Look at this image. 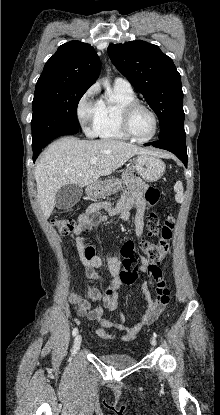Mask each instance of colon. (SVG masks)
<instances>
[{
  "label": "colon",
  "mask_w": 220,
  "mask_h": 415,
  "mask_svg": "<svg viewBox=\"0 0 220 415\" xmlns=\"http://www.w3.org/2000/svg\"><path fill=\"white\" fill-rule=\"evenodd\" d=\"M159 197L158 189L153 187L147 189L146 199L152 206L157 204ZM51 222L54 228L62 235H69L76 228L75 221L62 213L55 215ZM147 227L150 234L159 236V241L157 243L140 242V252L133 240L126 241L121 250L122 270L119 277L121 282L126 285L136 282L138 278V260L141 256L146 258L149 262L148 273L150 276L147 283L148 290L155 292L154 302L156 310L164 311L170 303L171 292L163 280L158 265L170 254L175 220L172 216H169L160 224L156 215L151 213Z\"/></svg>",
  "instance_id": "obj_1"
}]
</instances>
